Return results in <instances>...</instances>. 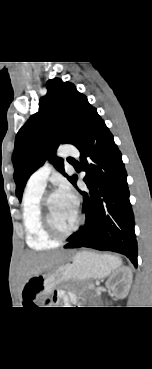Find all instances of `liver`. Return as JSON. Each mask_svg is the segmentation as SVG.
Listing matches in <instances>:
<instances>
[{
	"label": "liver",
	"mask_w": 152,
	"mask_h": 369,
	"mask_svg": "<svg viewBox=\"0 0 152 369\" xmlns=\"http://www.w3.org/2000/svg\"><path fill=\"white\" fill-rule=\"evenodd\" d=\"M60 259L61 254L59 253L27 252L24 254L21 261L23 283H25L30 277L50 269Z\"/></svg>",
	"instance_id": "1"
}]
</instances>
